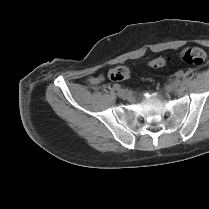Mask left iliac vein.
I'll list each match as a JSON object with an SVG mask.
<instances>
[{"label":"left iliac vein","mask_w":209,"mask_h":209,"mask_svg":"<svg viewBox=\"0 0 209 209\" xmlns=\"http://www.w3.org/2000/svg\"><path fill=\"white\" fill-rule=\"evenodd\" d=\"M180 85H181V80L180 79H175L174 83L171 84V88L173 90H176Z\"/></svg>","instance_id":"obj_1"}]
</instances>
